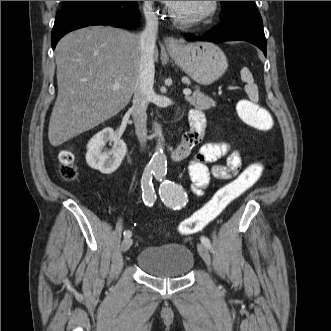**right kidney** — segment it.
Segmentation results:
<instances>
[{"label":"right kidney","instance_id":"1","mask_svg":"<svg viewBox=\"0 0 331 331\" xmlns=\"http://www.w3.org/2000/svg\"><path fill=\"white\" fill-rule=\"evenodd\" d=\"M113 144L110 151H106V144ZM127 151L126 144L117 137L110 127L94 135L87 145L86 162L103 174H111L120 166Z\"/></svg>","mask_w":331,"mask_h":331}]
</instances>
